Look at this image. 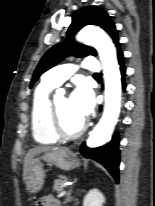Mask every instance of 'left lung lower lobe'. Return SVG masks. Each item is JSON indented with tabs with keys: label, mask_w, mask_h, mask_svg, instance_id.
Listing matches in <instances>:
<instances>
[{
	"label": "left lung lower lobe",
	"mask_w": 155,
	"mask_h": 206,
	"mask_svg": "<svg viewBox=\"0 0 155 206\" xmlns=\"http://www.w3.org/2000/svg\"><path fill=\"white\" fill-rule=\"evenodd\" d=\"M117 58L120 65L121 75H122V85L125 90V73L126 69L124 66V56L120 49V45L117 46ZM119 136L118 133H115L112 140L101 147L97 148H88L85 143H83L80 147L81 154L88 159H93L99 163H101L106 169L110 172V174L114 177L116 182L119 181Z\"/></svg>",
	"instance_id": "1"
}]
</instances>
